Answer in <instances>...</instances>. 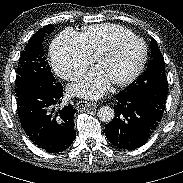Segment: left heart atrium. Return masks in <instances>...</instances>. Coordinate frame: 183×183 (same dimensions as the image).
<instances>
[{"label": "left heart atrium", "mask_w": 183, "mask_h": 183, "mask_svg": "<svg viewBox=\"0 0 183 183\" xmlns=\"http://www.w3.org/2000/svg\"><path fill=\"white\" fill-rule=\"evenodd\" d=\"M110 81L98 67L70 86V92L85 99H98L110 87Z\"/></svg>", "instance_id": "1"}]
</instances>
